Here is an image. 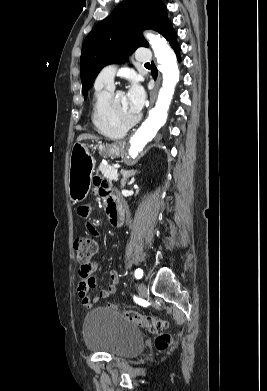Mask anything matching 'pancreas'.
Returning a JSON list of instances; mask_svg holds the SVG:
<instances>
[{"mask_svg": "<svg viewBox=\"0 0 267 391\" xmlns=\"http://www.w3.org/2000/svg\"><path fill=\"white\" fill-rule=\"evenodd\" d=\"M99 170L102 173L103 177L108 180H118V172L117 169L114 167H111L109 165H106L104 163H101L99 166Z\"/></svg>", "mask_w": 267, "mask_h": 391, "instance_id": "1", "label": "pancreas"}]
</instances>
